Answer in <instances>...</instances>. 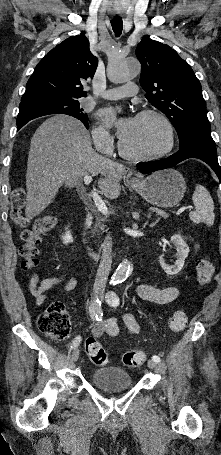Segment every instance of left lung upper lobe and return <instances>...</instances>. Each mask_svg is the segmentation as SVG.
<instances>
[{"instance_id":"left-lung-upper-lobe-1","label":"left lung upper lobe","mask_w":221,"mask_h":455,"mask_svg":"<svg viewBox=\"0 0 221 455\" xmlns=\"http://www.w3.org/2000/svg\"><path fill=\"white\" fill-rule=\"evenodd\" d=\"M136 55L146 98L172 122L180 146L193 138L212 139L201 84L189 64L168 45L149 38L141 40Z\"/></svg>"}]
</instances>
